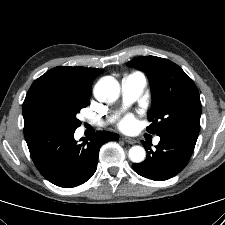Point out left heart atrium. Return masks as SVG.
<instances>
[{
    "mask_svg": "<svg viewBox=\"0 0 225 225\" xmlns=\"http://www.w3.org/2000/svg\"><path fill=\"white\" fill-rule=\"evenodd\" d=\"M135 124L136 120L132 114L124 115L118 122V126L122 130H130L135 126Z\"/></svg>",
    "mask_w": 225,
    "mask_h": 225,
    "instance_id": "1",
    "label": "left heart atrium"
}]
</instances>
